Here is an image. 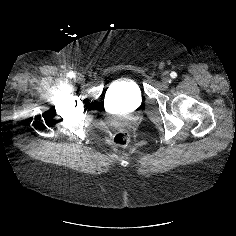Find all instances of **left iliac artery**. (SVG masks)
<instances>
[{
    "instance_id": "44dca946",
    "label": "left iliac artery",
    "mask_w": 236,
    "mask_h": 236,
    "mask_svg": "<svg viewBox=\"0 0 236 236\" xmlns=\"http://www.w3.org/2000/svg\"><path fill=\"white\" fill-rule=\"evenodd\" d=\"M170 76H171L172 78H176V77H177V73H176V72H171Z\"/></svg>"
}]
</instances>
